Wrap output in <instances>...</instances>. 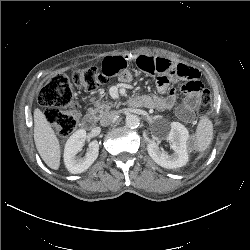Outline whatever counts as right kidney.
Segmentation results:
<instances>
[{
  "label": "right kidney",
  "instance_id": "1",
  "mask_svg": "<svg viewBox=\"0 0 250 250\" xmlns=\"http://www.w3.org/2000/svg\"><path fill=\"white\" fill-rule=\"evenodd\" d=\"M85 139L86 131L80 129L73 133L65 144L64 163L67 170L72 174L86 171L98 157L99 144L96 140L89 143L88 150L83 158L76 157V154L81 151Z\"/></svg>",
  "mask_w": 250,
  "mask_h": 250
}]
</instances>
